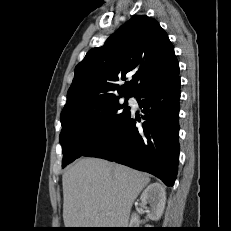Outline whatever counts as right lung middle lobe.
Returning a JSON list of instances; mask_svg holds the SVG:
<instances>
[{"label": "right lung middle lobe", "mask_w": 231, "mask_h": 231, "mask_svg": "<svg viewBox=\"0 0 231 231\" xmlns=\"http://www.w3.org/2000/svg\"><path fill=\"white\" fill-rule=\"evenodd\" d=\"M130 96L125 97L126 100ZM130 108L119 98L95 107L62 115L59 136L63 149L62 167L111 138L127 121Z\"/></svg>", "instance_id": "obj_1"}]
</instances>
